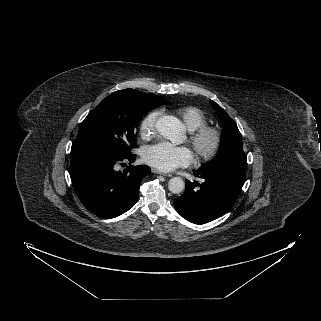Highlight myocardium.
<instances>
[{"label": "myocardium", "mask_w": 321, "mask_h": 321, "mask_svg": "<svg viewBox=\"0 0 321 321\" xmlns=\"http://www.w3.org/2000/svg\"><path fill=\"white\" fill-rule=\"evenodd\" d=\"M188 140L198 161L209 162L215 159L223 145V132L214 125L205 124L190 131Z\"/></svg>", "instance_id": "myocardium-1"}]
</instances>
